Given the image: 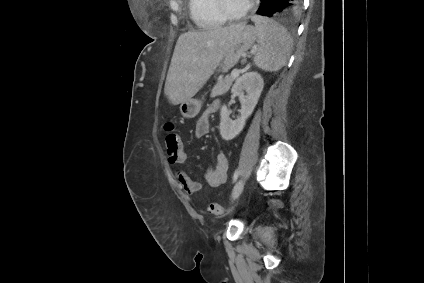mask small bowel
I'll list each match as a JSON object with an SVG mask.
<instances>
[{"instance_id": "1", "label": "small bowel", "mask_w": 424, "mask_h": 283, "mask_svg": "<svg viewBox=\"0 0 424 283\" xmlns=\"http://www.w3.org/2000/svg\"><path fill=\"white\" fill-rule=\"evenodd\" d=\"M220 107V102L218 100L213 101L209 106L205 109V111L198 118L195 126V135L200 138L205 136L209 132L210 124L209 118L211 114H213ZM167 155L170 164L178 165L183 164L186 160V155L184 152V148L182 146V150L178 153L170 154V147H167ZM172 157L174 160L172 161ZM228 169H229V161L228 156L225 152L220 151L216 155V161L214 165H211L207 168L205 173L206 183L210 187H218L224 184L227 181L228 177ZM176 179L183 190L189 194H195L201 189V184L192 179L188 173L184 170H178L176 172Z\"/></svg>"}]
</instances>
